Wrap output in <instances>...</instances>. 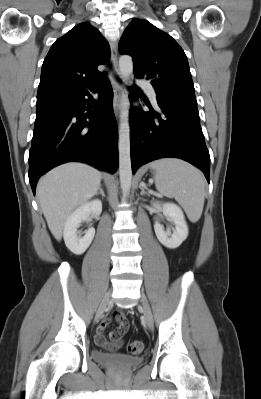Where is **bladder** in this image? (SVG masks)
<instances>
[{"mask_svg":"<svg viewBox=\"0 0 261 399\" xmlns=\"http://www.w3.org/2000/svg\"><path fill=\"white\" fill-rule=\"evenodd\" d=\"M95 362L112 369H130L142 363L143 359L136 356H128L122 353H108L100 350L92 351Z\"/></svg>","mask_w":261,"mask_h":399,"instance_id":"1","label":"bladder"}]
</instances>
